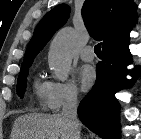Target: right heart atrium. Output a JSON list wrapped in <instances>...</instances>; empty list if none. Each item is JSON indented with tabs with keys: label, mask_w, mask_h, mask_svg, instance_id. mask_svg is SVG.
<instances>
[{
	"label": "right heart atrium",
	"mask_w": 141,
	"mask_h": 139,
	"mask_svg": "<svg viewBox=\"0 0 141 139\" xmlns=\"http://www.w3.org/2000/svg\"><path fill=\"white\" fill-rule=\"evenodd\" d=\"M79 100V91L72 82L49 81L45 106L51 111H59L65 106L74 105Z\"/></svg>",
	"instance_id": "obj_1"
}]
</instances>
